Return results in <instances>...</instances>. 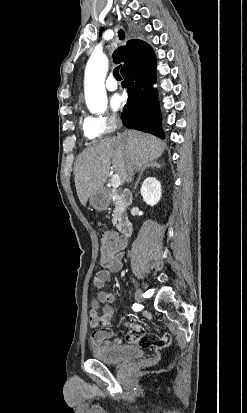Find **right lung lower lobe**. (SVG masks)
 Segmentation results:
<instances>
[{"label":"right lung lower lobe","mask_w":247,"mask_h":413,"mask_svg":"<svg viewBox=\"0 0 247 413\" xmlns=\"http://www.w3.org/2000/svg\"><path fill=\"white\" fill-rule=\"evenodd\" d=\"M156 65L145 72L124 77L122 86L127 88L128 101L122 112V122L128 128L165 138L158 107L155 83Z\"/></svg>","instance_id":"obj_1"}]
</instances>
